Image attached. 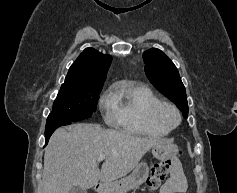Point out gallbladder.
<instances>
[{
    "mask_svg": "<svg viewBox=\"0 0 237 193\" xmlns=\"http://www.w3.org/2000/svg\"><path fill=\"white\" fill-rule=\"evenodd\" d=\"M69 193H87V191L79 186H72Z\"/></svg>",
    "mask_w": 237,
    "mask_h": 193,
    "instance_id": "1",
    "label": "gallbladder"
}]
</instances>
